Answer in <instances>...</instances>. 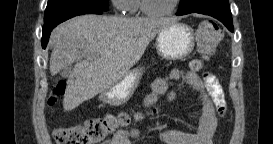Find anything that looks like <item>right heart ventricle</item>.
<instances>
[{"instance_id": "1", "label": "right heart ventricle", "mask_w": 273, "mask_h": 144, "mask_svg": "<svg viewBox=\"0 0 273 144\" xmlns=\"http://www.w3.org/2000/svg\"><path fill=\"white\" fill-rule=\"evenodd\" d=\"M140 8V0H128L126 4V11L129 13H135Z\"/></svg>"}]
</instances>
